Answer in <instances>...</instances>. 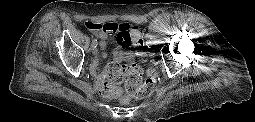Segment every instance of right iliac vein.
<instances>
[{
	"label": "right iliac vein",
	"mask_w": 255,
	"mask_h": 122,
	"mask_svg": "<svg viewBox=\"0 0 255 122\" xmlns=\"http://www.w3.org/2000/svg\"><path fill=\"white\" fill-rule=\"evenodd\" d=\"M91 50L94 55L97 54V43L91 44Z\"/></svg>",
	"instance_id": "obj_1"
}]
</instances>
